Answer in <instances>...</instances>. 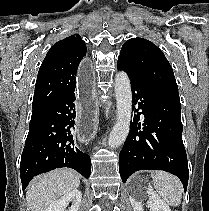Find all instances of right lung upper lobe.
Listing matches in <instances>:
<instances>
[{"instance_id":"right-lung-upper-lobe-1","label":"right lung upper lobe","mask_w":209,"mask_h":211,"mask_svg":"<svg viewBox=\"0 0 209 211\" xmlns=\"http://www.w3.org/2000/svg\"><path fill=\"white\" fill-rule=\"evenodd\" d=\"M86 51V44L78 34L51 47L38 72L33 112H40L58 98L74 92L77 69Z\"/></svg>"}]
</instances>
